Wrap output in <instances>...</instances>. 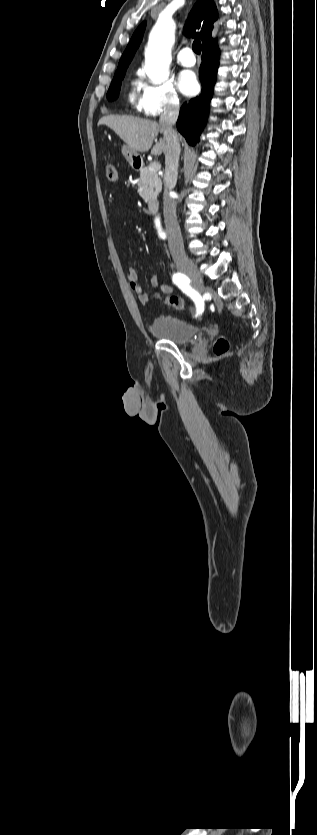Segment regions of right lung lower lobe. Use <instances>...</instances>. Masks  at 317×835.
<instances>
[{
	"instance_id": "obj_1",
	"label": "right lung lower lobe",
	"mask_w": 317,
	"mask_h": 835,
	"mask_svg": "<svg viewBox=\"0 0 317 835\" xmlns=\"http://www.w3.org/2000/svg\"><path fill=\"white\" fill-rule=\"evenodd\" d=\"M202 64L200 66L199 78L202 81V92L199 96L184 104L180 110L177 121L178 131L186 138L187 142L194 145L205 125L209 103L213 95V88L216 81L219 65V48L215 39L202 44Z\"/></svg>"
}]
</instances>
